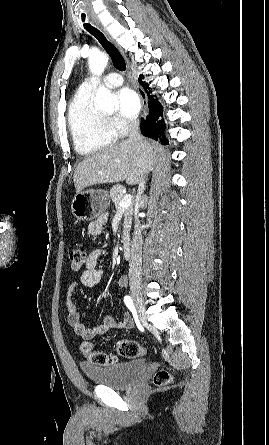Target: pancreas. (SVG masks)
Instances as JSON below:
<instances>
[{"instance_id": "1", "label": "pancreas", "mask_w": 269, "mask_h": 445, "mask_svg": "<svg viewBox=\"0 0 269 445\" xmlns=\"http://www.w3.org/2000/svg\"><path fill=\"white\" fill-rule=\"evenodd\" d=\"M124 186L122 185H115L110 190V197L115 204V207H119V203L124 198L125 194L123 193ZM132 215H133V204H131L128 208L124 211V231H123V242L129 241V231L131 228L132 223Z\"/></svg>"}]
</instances>
